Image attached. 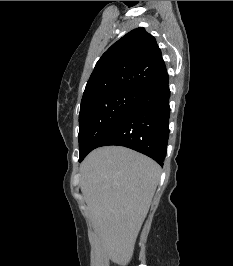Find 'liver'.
Returning a JSON list of instances; mask_svg holds the SVG:
<instances>
[{
	"mask_svg": "<svg viewBox=\"0 0 233 266\" xmlns=\"http://www.w3.org/2000/svg\"><path fill=\"white\" fill-rule=\"evenodd\" d=\"M160 174L155 161L121 146L95 149L82 162L81 191L104 263L131 259Z\"/></svg>",
	"mask_w": 233,
	"mask_h": 266,
	"instance_id": "obj_1",
	"label": "liver"
}]
</instances>
